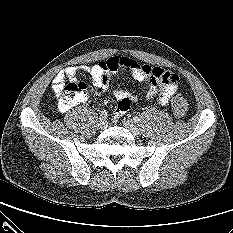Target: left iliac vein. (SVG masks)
Returning a JSON list of instances; mask_svg holds the SVG:
<instances>
[{"label": "left iliac vein", "mask_w": 233, "mask_h": 233, "mask_svg": "<svg viewBox=\"0 0 233 233\" xmlns=\"http://www.w3.org/2000/svg\"><path fill=\"white\" fill-rule=\"evenodd\" d=\"M124 126L128 128L134 136L139 135L140 129L138 125L131 119H125L123 122Z\"/></svg>", "instance_id": "left-iliac-vein-1"}]
</instances>
